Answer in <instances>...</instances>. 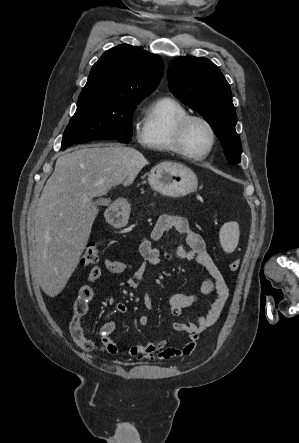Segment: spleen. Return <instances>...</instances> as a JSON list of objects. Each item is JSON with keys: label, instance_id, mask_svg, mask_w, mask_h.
<instances>
[{"label": "spleen", "instance_id": "1", "mask_svg": "<svg viewBox=\"0 0 299 443\" xmlns=\"http://www.w3.org/2000/svg\"><path fill=\"white\" fill-rule=\"evenodd\" d=\"M220 243L225 252L235 250L239 241V227L235 222L225 223L220 229Z\"/></svg>", "mask_w": 299, "mask_h": 443}]
</instances>
